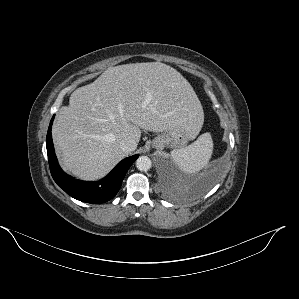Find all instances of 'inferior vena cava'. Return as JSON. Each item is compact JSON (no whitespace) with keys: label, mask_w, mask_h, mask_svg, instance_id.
Instances as JSON below:
<instances>
[{"label":"inferior vena cava","mask_w":299,"mask_h":299,"mask_svg":"<svg viewBox=\"0 0 299 299\" xmlns=\"http://www.w3.org/2000/svg\"><path fill=\"white\" fill-rule=\"evenodd\" d=\"M120 148L123 152H132L137 148V142L130 137L124 138L120 141Z\"/></svg>","instance_id":"602c4592"}]
</instances>
